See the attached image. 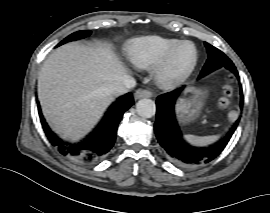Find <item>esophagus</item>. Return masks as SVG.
I'll use <instances>...</instances> for the list:
<instances>
[{
  "instance_id": "34e87169",
  "label": "esophagus",
  "mask_w": 270,
  "mask_h": 213,
  "mask_svg": "<svg viewBox=\"0 0 270 213\" xmlns=\"http://www.w3.org/2000/svg\"><path fill=\"white\" fill-rule=\"evenodd\" d=\"M152 95H153L152 92H150L149 90L140 89V90L136 91L134 97L136 100H138L141 98H149Z\"/></svg>"
}]
</instances>
